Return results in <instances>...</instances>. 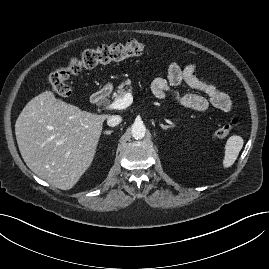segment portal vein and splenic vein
<instances>
[{"mask_svg": "<svg viewBox=\"0 0 269 269\" xmlns=\"http://www.w3.org/2000/svg\"><path fill=\"white\" fill-rule=\"evenodd\" d=\"M133 102L132 94L126 93L122 98L116 99L111 104L106 105L104 109L106 110H121L130 106Z\"/></svg>", "mask_w": 269, "mask_h": 269, "instance_id": "1", "label": "portal vein and splenic vein"}]
</instances>
